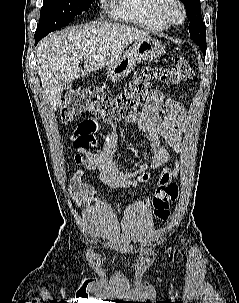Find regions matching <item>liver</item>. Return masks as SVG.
<instances>
[{
    "label": "liver",
    "instance_id": "liver-1",
    "mask_svg": "<svg viewBox=\"0 0 239 303\" xmlns=\"http://www.w3.org/2000/svg\"><path fill=\"white\" fill-rule=\"evenodd\" d=\"M146 37L145 31L107 22L72 26L45 37L37 47V71L51 110H57L65 83L112 64L130 43Z\"/></svg>",
    "mask_w": 239,
    "mask_h": 303
}]
</instances>
